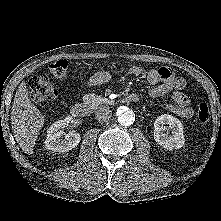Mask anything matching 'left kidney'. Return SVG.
Listing matches in <instances>:
<instances>
[{
    "label": "left kidney",
    "instance_id": "left-kidney-1",
    "mask_svg": "<svg viewBox=\"0 0 221 221\" xmlns=\"http://www.w3.org/2000/svg\"><path fill=\"white\" fill-rule=\"evenodd\" d=\"M172 130L171 135L165 133L167 129ZM154 139L166 150L180 149L185 144L183 125L181 121L171 115H161L154 122Z\"/></svg>",
    "mask_w": 221,
    "mask_h": 221
}]
</instances>
